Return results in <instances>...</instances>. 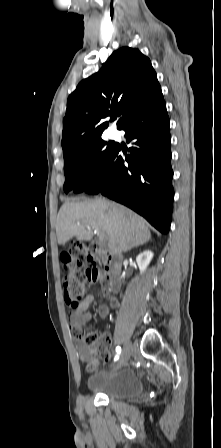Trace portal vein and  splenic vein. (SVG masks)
<instances>
[{
    "mask_svg": "<svg viewBox=\"0 0 221 448\" xmlns=\"http://www.w3.org/2000/svg\"><path fill=\"white\" fill-rule=\"evenodd\" d=\"M98 236H99V240H100L101 242H103L104 239H105L104 235H103L102 233L98 232Z\"/></svg>",
    "mask_w": 221,
    "mask_h": 448,
    "instance_id": "portal-vein-and-splenic-vein-1",
    "label": "portal vein and splenic vein"
}]
</instances>
